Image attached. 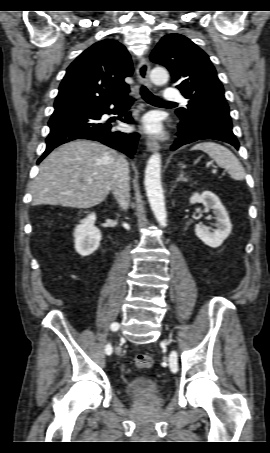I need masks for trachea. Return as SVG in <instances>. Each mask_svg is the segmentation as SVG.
<instances>
[{"mask_svg":"<svg viewBox=\"0 0 270 453\" xmlns=\"http://www.w3.org/2000/svg\"><path fill=\"white\" fill-rule=\"evenodd\" d=\"M140 93L143 99L150 104L153 105H167V104H175L174 102L164 101L155 95H153L145 86H141Z\"/></svg>","mask_w":270,"mask_h":453,"instance_id":"trachea-1","label":"trachea"}]
</instances>
